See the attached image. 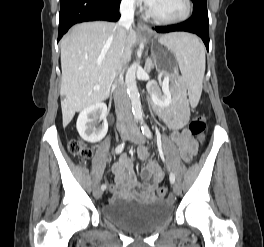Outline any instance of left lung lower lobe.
Listing matches in <instances>:
<instances>
[{"label":"left lung lower lobe","instance_id":"0a47b994","mask_svg":"<svg viewBox=\"0 0 264 247\" xmlns=\"http://www.w3.org/2000/svg\"><path fill=\"white\" fill-rule=\"evenodd\" d=\"M158 33H169L175 31H185L197 34L209 49V20L207 7L194 6L192 17L181 24L165 27H155Z\"/></svg>","mask_w":264,"mask_h":247}]
</instances>
